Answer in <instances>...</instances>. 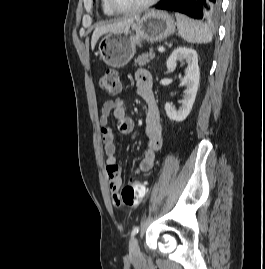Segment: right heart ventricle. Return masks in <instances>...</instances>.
Instances as JSON below:
<instances>
[{
    "instance_id": "right-heart-ventricle-1",
    "label": "right heart ventricle",
    "mask_w": 265,
    "mask_h": 269,
    "mask_svg": "<svg viewBox=\"0 0 265 269\" xmlns=\"http://www.w3.org/2000/svg\"><path fill=\"white\" fill-rule=\"evenodd\" d=\"M101 8L106 15L111 16L116 14V12H114L109 6L108 0H101Z\"/></svg>"
}]
</instances>
